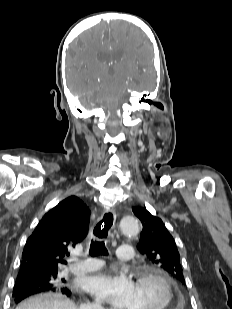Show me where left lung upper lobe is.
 Instances as JSON below:
<instances>
[{"instance_id":"5c2ea615","label":"left lung upper lobe","mask_w":232,"mask_h":309,"mask_svg":"<svg viewBox=\"0 0 232 309\" xmlns=\"http://www.w3.org/2000/svg\"><path fill=\"white\" fill-rule=\"evenodd\" d=\"M132 210L143 225L138 244L139 252L146 255L152 264L159 266L184 284L179 251L162 220L151 215L146 208L134 207Z\"/></svg>"}]
</instances>
